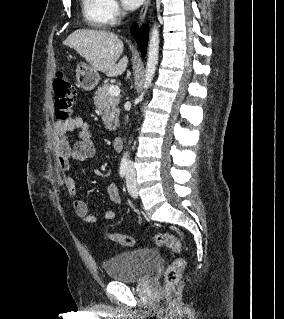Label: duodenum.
Here are the masks:
<instances>
[{"label":"duodenum","mask_w":284,"mask_h":319,"mask_svg":"<svg viewBox=\"0 0 284 319\" xmlns=\"http://www.w3.org/2000/svg\"><path fill=\"white\" fill-rule=\"evenodd\" d=\"M124 139L121 136H117L113 140V146L116 150H121L123 147Z\"/></svg>","instance_id":"1"}]
</instances>
